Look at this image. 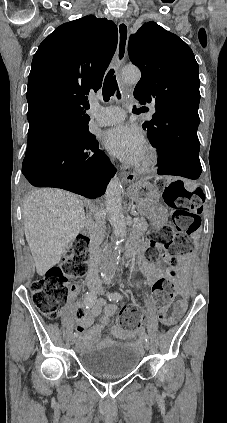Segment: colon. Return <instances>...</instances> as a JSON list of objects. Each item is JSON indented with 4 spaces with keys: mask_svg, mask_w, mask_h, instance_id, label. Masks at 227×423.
Instances as JSON below:
<instances>
[{
    "mask_svg": "<svg viewBox=\"0 0 227 423\" xmlns=\"http://www.w3.org/2000/svg\"><path fill=\"white\" fill-rule=\"evenodd\" d=\"M162 189L165 203L173 212L175 230L165 225L153 234L154 248L147 258L155 259L159 256L157 246L165 247L170 256H176L191 249L190 235L200 226L202 205L199 190L180 181H158ZM89 237L79 234L66 252L63 261L49 269L46 274L36 280L32 286V300L42 315L55 319L60 315L63 305L67 301L69 278L85 274L88 262ZM179 271L173 269L169 274L159 279L152 287V299L157 310L167 311L176 295V283ZM81 317V312L78 313ZM142 321L141 308L138 305L123 307L118 316V324L126 330H136Z\"/></svg>",
    "mask_w": 227,
    "mask_h": 423,
    "instance_id": "colon-1",
    "label": "colon"
}]
</instances>
